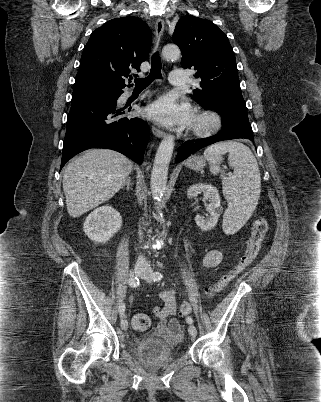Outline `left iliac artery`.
<instances>
[{"instance_id": "44dca946", "label": "left iliac artery", "mask_w": 321, "mask_h": 402, "mask_svg": "<svg viewBox=\"0 0 321 402\" xmlns=\"http://www.w3.org/2000/svg\"><path fill=\"white\" fill-rule=\"evenodd\" d=\"M163 278L162 274L159 272H155L153 273V280L154 281H160ZM188 324H192L193 323V319L191 317H187L186 319Z\"/></svg>"}]
</instances>
